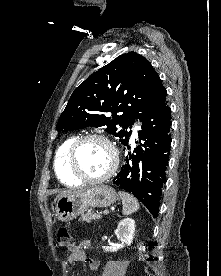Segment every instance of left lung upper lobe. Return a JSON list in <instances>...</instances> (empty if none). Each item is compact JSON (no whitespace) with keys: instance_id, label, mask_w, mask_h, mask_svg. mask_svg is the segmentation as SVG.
<instances>
[{"instance_id":"1","label":"left lung upper lobe","mask_w":221,"mask_h":276,"mask_svg":"<svg viewBox=\"0 0 221 276\" xmlns=\"http://www.w3.org/2000/svg\"><path fill=\"white\" fill-rule=\"evenodd\" d=\"M159 75L142 55L118 56L89 76L72 93L57 123L58 131L105 127L128 145L135 119L144 121L166 101Z\"/></svg>"}]
</instances>
